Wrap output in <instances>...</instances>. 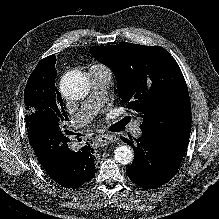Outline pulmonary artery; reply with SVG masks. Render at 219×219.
Here are the masks:
<instances>
[{
  "label": "pulmonary artery",
  "mask_w": 219,
  "mask_h": 219,
  "mask_svg": "<svg viewBox=\"0 0 219 219\" xmlns=\"http://www.w3.org/2000/svg\"><path fill=\"white\" fill-rule=\"evenodd\" d=\"M88 75L91 80L92 91L89 99L74 116V123L77 127L84 125L92 118L98 106L103 102L112 78L111 71L104 66H92L88 71ZM140 126V121L131 124L132 134L136 137L142 134Z\"/></svg>",
  "instance_id": "1"
}]
</instances>
